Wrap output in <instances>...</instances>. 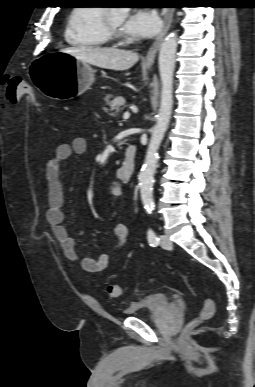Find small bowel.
<instances>
[{"label":"small bowel","mask_w":255,"mask_h":387,"mask_svg":"<svg viewBox=\"0 0 255 387\" xmlns=\"http://www.w3.org/2000/svg\"><path fill=\"white\" fill-rule=\"evenodd\" d=\"M87 150V141L85 138H74L71 143L59 144L45 167V179L48 188V209L46 219L51 226L53 235L59 242L64 255L71 261L79 262L81 267L92 273H99L108 267L110 255L103 253L97 258L80 257L76 251L75 239L65 223L64 212V188L61 179L63 163L73 155H80ZM111 198L117 199L123 196V188L119 184H113L109 188ZM114 250L122 249L128 241L129 230L125 224H116L114 227Z\"/></svg>","instance_id":"small-bowel-1"}]
</instances>
